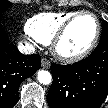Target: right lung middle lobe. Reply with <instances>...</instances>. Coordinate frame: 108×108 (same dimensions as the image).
I'll return each mask as SVG.
<instances>
[{
	"instance_id": "1",
	"label": "right lung middle lobe",
	"mask_w": 108,
	"mask_h": 108,
	"mask_svg": "<svg viewBox=\"0 0 108 108\" xmlns=\"http://www.w3.org/2000/svg\"><path fill=\"white\" fill-rule=\"evenodd\" d=\"M12 3L6 0H0V14L5 12Z\"/></svg>"
}]
</instances>
